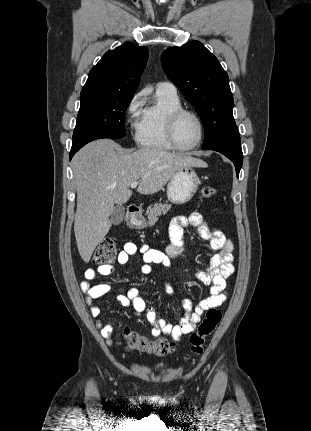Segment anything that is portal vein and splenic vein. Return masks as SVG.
I'll return each instance as SVG.
<instances>
[{
  "instance_id": "obj_1",
  "label": "portal vein and splenic vein",
  "mask_w": 311,
  "mask_h": 431,
  "mask_svg": "<svg viewBox=\"0 0 311 431\" xmlns=\"http://www.w3.org/2000/svg\"><path fill=\"white\" fill-rule=\"evenodd\" d=\"M137 186H138V182H133V184H130V188H132V190L133 188H137Z\"/></svg>"
}]
</instances>
